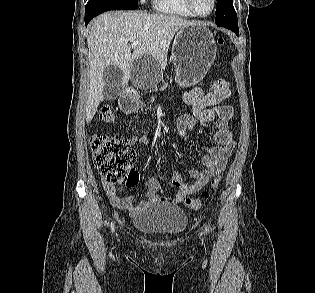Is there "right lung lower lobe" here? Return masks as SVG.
<instances>
[{
    "instance_id": "98d812e1",
    "label": "right lung lower lobe",
    "mask_w": 315,
    "mask_h": 293,
    "mask_svg": "<svg viewBox=\"0 0 315 293\" xmlns=\"http://www.w3.org/2000/svg\"><path fill=\"white\" fill-rule=\"evenodd\" d=\"M138 7L127 6L114 0H89L85 7V25L95 16L109 10H133Z\"/></svg>"
}]
</instances>
